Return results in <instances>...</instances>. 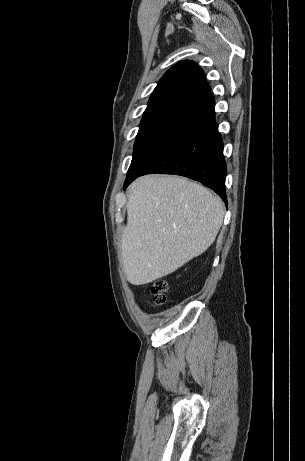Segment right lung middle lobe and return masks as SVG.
I'll return each instance as SVG.
<instances>
[{"label":"right lung middle lobe","instance_id":"dd1d6c3e","mask_svg":"<svg viewBox=\"0 0 305 461\" xmlns=\"http://www.w3.org/2000/svg\"><path fill=\"white\" fill-rule=\"evenodd\" d=\"M187 109L182 106L170 105L147 108L144 111L134 144L130 168L138 164L168 134L178 118Z\"/></svg>","mask_w":305,"mask_h":461}]
</instances>
